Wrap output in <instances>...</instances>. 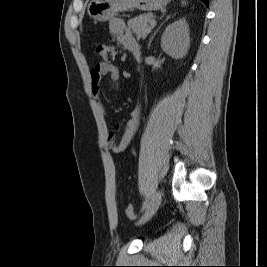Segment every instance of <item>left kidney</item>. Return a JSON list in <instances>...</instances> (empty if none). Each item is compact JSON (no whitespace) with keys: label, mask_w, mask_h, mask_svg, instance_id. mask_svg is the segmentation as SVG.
I'll list each match as a JSON object with an SVG mask.
<instances>
[{"label":"left kidney","mask_w":267,"mask_h":267,"mask_svg":"<svg viewBox=\"0 0 267 267\" xmlns=\"http://www.w3.org/2000/svg\"><path fill=\"white\" fill-rule=\"evenodd\" d=\"M189 26L182 18L168 25L161 37V48L175 59L183 58L190 47Z\"/></svg>","instance_id":"left-kidney-1"}]
</instances>
